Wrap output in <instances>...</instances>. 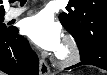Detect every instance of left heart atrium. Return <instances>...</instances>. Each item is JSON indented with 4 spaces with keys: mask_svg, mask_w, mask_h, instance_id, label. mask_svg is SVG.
Segmentation results:
<instances>
[{
    "mask_svg": "<svg viewBox=\"0 0 107 75\" xmlns=\"http://www.w3.org/2000/svg\"><path fill=\"white\" fill-rule=\"evenodd\" d=\"M23 32L39 47L58 51L62 46V30L53 16L45 11L28 17L23 22Z\"/></svg>",
    "mask_w": 107,
    "mask_h": 75,
    "instance_id": "obj_1",
    "label": "left heart atrium"
}]
</instances>
